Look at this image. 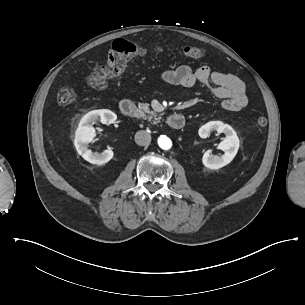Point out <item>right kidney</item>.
<instances>
[{"mask_svg":"<svg viewBox=\"0 0 305 305\" xmlns=\"http://www.w3.org/2000/svg\"><path fill=\"white\" fill-rule=\"evenodd\" d=\"M99 119L102 123H114L117 116L112 111L106 109L94 110L87 113L80 121L79 127L76 131L74 144L78 154H80L86 161L92 164L102 165L112 159L113 151L107 149L102 153H97L88 149V143L91 142L95 136V130L92 127V124Z\"/></svg>","mask_w":305,"mask_h":305,"instance_id":"obj_1","label":"right kidney"}]
</instances>
